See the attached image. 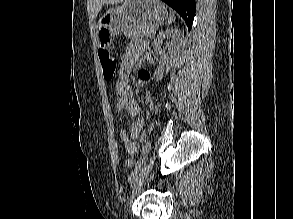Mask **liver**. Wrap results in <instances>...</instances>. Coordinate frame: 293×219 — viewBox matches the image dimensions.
<instances>
[{"mask_svg":"<svg viewBox=\"0 0 293 219\" xmlns=\"http://www.w3.org/2000/svg\"><path fill=\"white\" fill-rule=\"evenodd\" d=\"M124 1H129V0H93V15L96 17L104 4H118Z\"/></svg>","mask_w":293,"mask_h":219,"instance_id":"liver-1","label":"liver"}]
</instances>
